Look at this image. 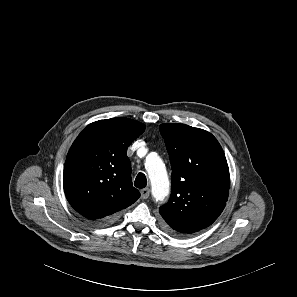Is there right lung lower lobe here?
Instances as JSON below:
<instances>
[{"label": "right lung lower lobe", "mask_w": 297, "mask_h": 297, "mask_svg": "<svg viewBox=\"0 0 297 297\" xmlns=\"http://www.w3.org/2000/svg\"><path fill=\"white\" fill-rule=\"evenodd\" d=\"M111 219H113V218H111ZM111 219H109V220H107V221H103V222L106 223V222L110 221Z\"/></svg>", "instance_id": "1"}]
</instances>
